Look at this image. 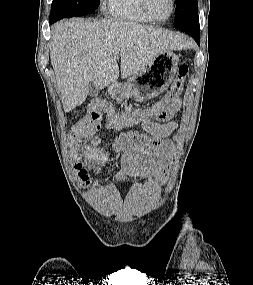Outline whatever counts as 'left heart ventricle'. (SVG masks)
<instances>
[{
	"mask_svg": "<svg viewBox=\"0 0 253 285\" xmlns=\"http://www.w3.org/2000/svg\"><path fill=\"white\" fill-rule=\"evenodd\" d=\"M149 9L156 18H166L171 11L170 0H149Z\"/></svg>",
	"mask_w": 253,
	"mask_h": 285,
	"instance_id": "left-heart-ventricle-1",
	"label": "left heart ventricle"
}]
</instances>
